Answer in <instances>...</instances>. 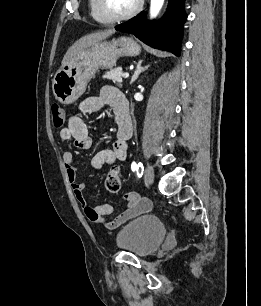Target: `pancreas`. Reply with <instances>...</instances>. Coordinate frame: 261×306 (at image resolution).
Instances as JSON below:
<instances>
[{
    "mask_svg": "<svg viewBox=\"0 0 261 306\" xmlns=\"http://www.w3.org/2000/svg\"><path fill=\"white\" fill-rule=\"evenodd\" d=\"M103 77L105 79L112 80L113 82L121 83L122 82V77H123L122 68L117 67V68L105 73V75Z\"/></svg>",
    "mask_w": 261,
    "mask_h": 306,
    "instance_id": "pancreas-1",
    "label": "pancreas"
}]
</instances>
